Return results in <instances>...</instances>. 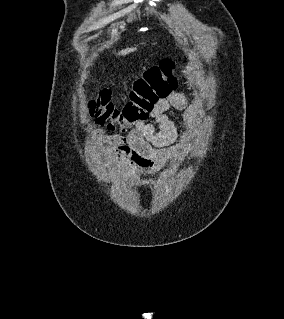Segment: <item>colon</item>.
<instances>
[{"label":"colon","instance_id":"obj_1","mask_svg":"<svg viewBox=\"0 0 284 319\" xmlns=\"http://www.w3.org/2000/svg\"><path fill=\"white\" fill-rule=\"evenodd\" d=\"M177 87L174 66L164 61L147 69L132 85L128 100L118 107L107 91L92 97L87 106L89 117L108 129L126 132L145 121L155 105L167 98Z\"/></svg>","mask_w":284,"mask_h":319}]
</instances>
